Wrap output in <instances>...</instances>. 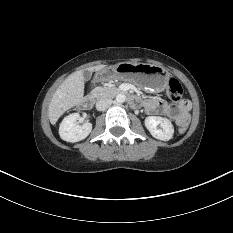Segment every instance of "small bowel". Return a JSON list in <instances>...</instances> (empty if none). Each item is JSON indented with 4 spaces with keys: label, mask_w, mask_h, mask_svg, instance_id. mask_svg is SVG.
<instances>
[{
    "label": "small bowel",
    "mask_w": 233,
    "mask_h": 233,
    "mask_svg": "<svg viewBox=\"0 0 233 233\" xmlns=\"http://www.w3.org/2000/svg\"><path fill=\"white\" fill-rule=\"evenodd\" d=\"M143 107L149 114L169 117L175 121L178 127L189 122L191 105L188 101L173 105L161 99L149 98L143 101Z\"/></svg>",
    "instance_id": "c3829d8e"
}]
</instances>
